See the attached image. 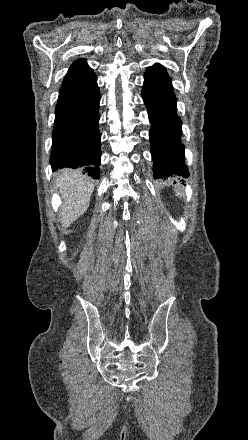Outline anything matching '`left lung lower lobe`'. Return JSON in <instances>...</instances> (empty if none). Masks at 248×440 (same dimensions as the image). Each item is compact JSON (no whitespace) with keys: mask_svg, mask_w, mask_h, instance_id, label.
<instances>
[{"mask_svg":"<svg viewBox=\"0 0 248 440\" xmlns=\"http://www.w3.org/2000/svg\"><path fill=\"white\" fill-rule=\"evenodd\" d=\"M142 97L151 123L149 132L154 178L175 175L187 178L184 146L180 142L181 120L176 113V98L171 84L145 78Z\"/></svg>","mask_w":248,"mask_h":440,"instance_id":"left-lung-lower-lobe-1","label":"left lung lower lobe"}]
</instances>
